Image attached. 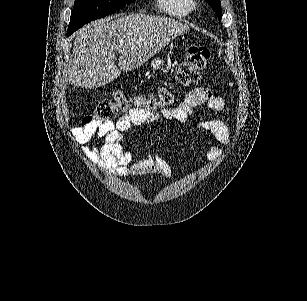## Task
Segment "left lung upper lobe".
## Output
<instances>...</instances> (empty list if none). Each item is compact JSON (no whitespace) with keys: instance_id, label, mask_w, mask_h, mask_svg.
Returning <instances> with one entry per match:
<instances>
[{"instance_id":"5c2ea615","label":"left lung upper lobe","mask_w":307,"mask_h":301,"mask_svg":"<svg viewBox=\"0 0 307 301\" xmlns=\"http://www.w3.org/2000/svg\"><path fill=\"white\" fill-rule=\"evenodd\" d=\"M206 2L212 7L218 17H222V9L220 0H206Z\"/></svg>"}]
</instances>
